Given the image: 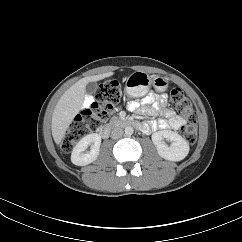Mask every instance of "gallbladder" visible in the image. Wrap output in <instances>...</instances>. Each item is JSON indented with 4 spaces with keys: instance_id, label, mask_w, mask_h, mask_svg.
Returning <instances> with one entry per match:
<instances>
[{
    "instance_id": "obj_1",
    "label": "gallbladder",
    "mask_w": 242,
    "mask_h": 242,
    "mask_svg": "<svg viewBox=\"0 0 242 242\" xmlns=\"http://www.w3.org/2000/svg\"><path fill=\"white\" fill-rule=\"evenodd\" d=\"M96 89H97V86H96L95 83H89V84L87 85V87H86V91H87L88 93H94V92L96 91Z\"/></svg>"
}]
</instances>
